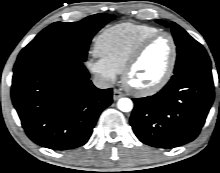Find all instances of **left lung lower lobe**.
I'll return each mask as SVG.
<instances>
[{
    "mask_svg": "<svg viewBox=\"0 0 220 173\" xmlns=\"http://www.w3.org/2000/svg\"><path fill=\"white\" fill-rule=\"evenodd\" d=\"M213 100L211 65L197 66L174 74L158 94L133 98L130 124L147 145L178 147L198 136Z\"/></svg>",
    "mask_w": 220,
    "mask_h": 173,
    "instance_id": "0a47b994",
    "label": "left lung lower lobe"
}]
</instances>
